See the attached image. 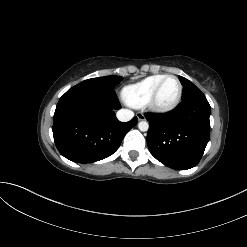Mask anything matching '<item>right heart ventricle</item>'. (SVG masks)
Wrapping results in <instances>:
<instances>
[{
	"label": "right heart ventricle",
	"instance_id": "1",
	"mask_svg": "<svg viewBox=\"0 0 247 247\" xmlns=\"http://www.w3.org/2000/svg\"><path fill=\"white\" fill-rule=\"evenodd\" d=\"M165 74H156L128 85L123 89V97L126 102L136 108L146 105L157 84L165 77Z\"/></svg>",
	"mask_w": 247,
	"mask_h": 247
}]
</instances>
